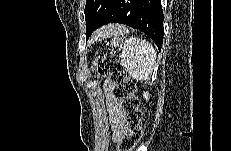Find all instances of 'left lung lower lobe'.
I'll return each instance as SVG.
<instances>
[{
	"mask_svg": "<svg viewBox=\"0 0 231 151\" xmlns=\"http://www.w3.org/2000/svg\"><path fill=\"white\" fill-rule=\"evenodd\" d=\"M108 23H122L144 32L161 50L164 31L160 0H112L94 30ZM93 31L86 34V40Z\"/></svg>",
	"mask_w": 231,
	"mask_h": 151,
	"instance_id": "1",
	"label": "left lung lower lobe"
}]
</instances>
